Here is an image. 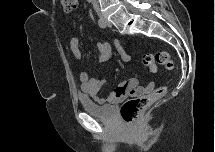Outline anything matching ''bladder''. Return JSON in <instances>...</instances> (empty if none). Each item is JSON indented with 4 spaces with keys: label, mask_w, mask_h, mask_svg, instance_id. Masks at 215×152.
Instances as JSON below:
<instances>
[{
    "label": "bladder",
    "mask_w": 215,
    "mask_h": 152,
    "mask_svg": "<svg viewBox=\"0 0 215 152\" xmlns=\"http://www.w3.org/2000/svg\"><path fill=\"white\" fill-rule=\"evenodd\" d=\"M80 104L84 111L97 118L111 120L114 116V107L112 105H100L86 96L80 97Z\"/></svg>",
    "instance_id": "1"
}]
</instances>
